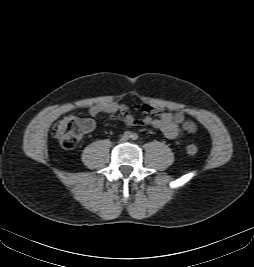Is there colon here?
I'll return each mask as SVG.
<instances>
[{
    "label": "colon",
    "instance_id": "colon-1",
    "mask_svg": "<svg viewBox=\"0 0 254 267\" xmlns=\"http://www.w3.org/2000/svg\"><path fill=\"white\" fill-rule=\"evenodd\" d=\"M93 127L94 122L89 118L67 116L54 124L52 134L64 148L73 149ZM186 151L190 155H195L198 147L190 143Z\"/></svg>",
    "mask_w": 254,
    "mask_h": 267
}]
</instances>
